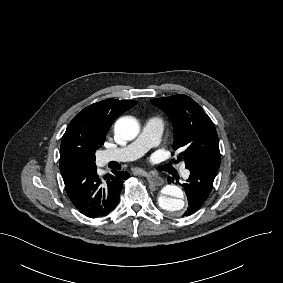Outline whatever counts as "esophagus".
Masks as SVG:
<instances>
[{"label": "esophagus", "mask_w": 283, "mask_h": 283, "mask_svg": "<svg viewBox=\"0 0 283 283\" xmlns=\"http://www.w3.org/2000/svg\"><path fill=\"white\" fill-rule=\"evenodd\" d=\"M139 173L145 176L148 179V181L155 186H161L164 184V180L161 177H159L157 174H150L147 172H139Z\"/></svg>", "instance_id": "esophagus-1"}]
</instances>
